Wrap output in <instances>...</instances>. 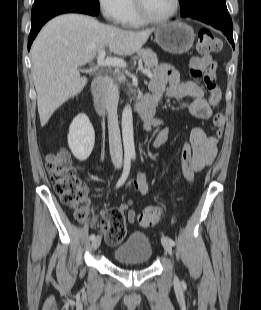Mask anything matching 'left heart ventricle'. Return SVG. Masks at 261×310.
<instances>
[{
  "instance_id": "1",
  "label": "left heart ventricle",
  "mask_w": 261,
  "mask_h": 310,
  "mask_svg": "<svg viewBox=\"0 0 261 310\" xmlns=\"http://www.w3.org/2000/svg\"><path fill=\"white\" fill-rule=\"evenodd\" d=\"M146 12L154 18L168 15L174 8V0H141Z\"/></svg>"
}]
</instances>
